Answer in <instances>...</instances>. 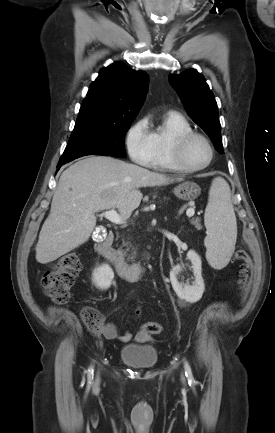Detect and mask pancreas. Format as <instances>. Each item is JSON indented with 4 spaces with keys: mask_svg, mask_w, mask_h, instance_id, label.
<instances>
[{
    "mask_svg": "<svg viewBox=\"0 0 275 433\" xmlns=\"http://www.w3.org/2000/svg\"><path fill=\"white\" fill-rule=\"evenodd\" d=\"M191 224H193L197 229L201 228L200 221L198 219L191 220ZM126 245V244H125ZM128 250V249H127Z\"/></svg>",
    "mask_w": 275,
    "mask_h": 433,
    "instance_id": "pancreas-1",
    "label": "pancreas"
}]
</instances>
